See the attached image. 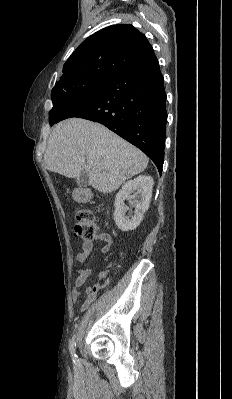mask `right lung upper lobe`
<instances>
[{
	"label": "right lung upper lobe",
	"mask_w": 232,
	"mask_h": 399,
	"mask_svg": "<svg viewBox=\"0 0 232 399\" xmlns=\"http://www.w3.org/2000/svg\"><path fill=\"white\" fill-rule=\"evenodd\" d=\"M154 54L144 34L132 25H113L88 37L64 64L51 95L82 78H109Z\"/></svg>",
	"instance_id": "1"
}]
</instances>
